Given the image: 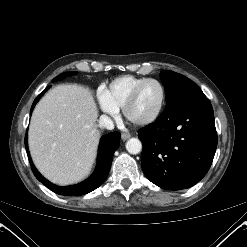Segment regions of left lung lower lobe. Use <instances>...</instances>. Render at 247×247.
Masks as SVG:
<instances>
[{"instance_id":"0a47b994","label":"left lung lower lobe","mask_w":247,"mask_h":247,"mask_svg":"<svg viewBox=\"0 0 247 247\" xmlns=\"http://www.w3.org/2000/svg\"><path fill=\"white\" fill-rule=\"evenodd\" d=\"M145 176L168 190L192 187L208 172L217 147L214 113L202 91L179 97L138 135Z\"/></svg>"}]
</instances>
